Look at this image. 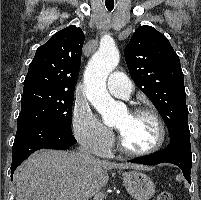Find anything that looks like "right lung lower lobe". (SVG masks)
<instances>
[{
    "mask_svg": "<svg viewBox=\"0 0 201 200\" xmlns=\"http://www.w3.org/2000/svg\"><path fill=\"white\" fill-rule=\"evenodd\" d=\"M76 143L72 131L47 121H31L17 125L13 144L11 177L15 169L39 149H68Z\"/></svg>",
    "mask_w": 201,
    "mask_h": 200,
    "instance_id": "obj_1",
    "label": "right lung lower lobe"
}]
</instances>
